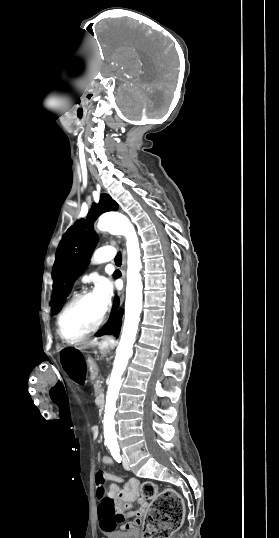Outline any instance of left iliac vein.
Returning <instances> with one entry per match:
<instances>
[{"label":"left iliac vein","mask_w":279,"mask_h":538,"mask_svg":"<svg viewBox=\"0 0 279 538\" xmlns=\"http://www.w3.org/2000/svg\"><path fill=\"white\" fill-rule=\"evenodd\" d=\"M122 458H123V467H124V469L125 470H130V466H129L127 457L125 455H123Z\"/></svg>","instance_id":"4c4485c4"}]
</instances>
